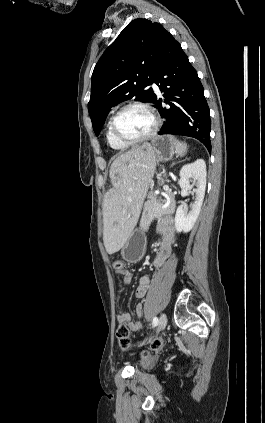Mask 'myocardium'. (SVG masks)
I'll return each instance as SVG.
<instances>
[{"mask_svg": "<svg viewBox=\"0 0 265 423\" xmlns=\"http://www.w3.org/2000/svg\"><path fill=\"white\" fill-rule=\"evenodd\" d=\"M130 108H140L142 110H144L145 112H147L149 114V116L152 118L153 120V126L151 128V130L144 136L139 137V138H135V139H130L127 138L125 136H123L122 134H120V132L117 129V120L119 118V116L126 110L130 109ZM160 126V119L158 117V115L156 114V112L154 111V109L143 102H130L124 106H122L111 118V122H110V127H111V131L113 136L119 140L120 142L124 143V144H128V145H134V144H138L144 141H147L149 139H151L152 137H154L159 129Z\"/></svg>", "mask_w": 265, "mask_h": 423, "instance_id": "obj_1", "label": "myocardium"}]
</instances>
